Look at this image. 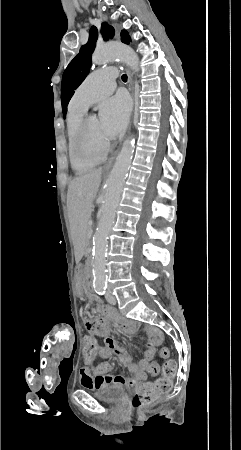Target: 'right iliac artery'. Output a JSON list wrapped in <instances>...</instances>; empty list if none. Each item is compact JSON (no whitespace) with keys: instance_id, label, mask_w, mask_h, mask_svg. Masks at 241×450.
<instances>
[{"instance_id":"obj_1","label":"right iliac artery","mask_w":241,"mask_h":450,"mask_svg":"<svg viewBox=\"0 0 241 450\" xmlns=\"http://www.w3.org/2000/svg\"><path fill=\"white\" fill-rule=\"evenodd\" d=\"M106 286H100V287H97L96 288V292L99 294V295H104L105 294V292H106Z\"/></svg>"}]
</instances>
